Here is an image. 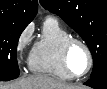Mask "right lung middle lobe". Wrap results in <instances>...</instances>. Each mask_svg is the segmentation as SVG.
I'll list each match as a JSON object with an SVG mask.
<instances>
[{"mask_svg": "<svg viewBox=\"0 0 107 89\" xmlns=\"http://www.w3.org/2000/svg\"><path fill=\"white\" fill-rule=\"evenodd\" d=\"M27 24L0 20V81L19 76L16 59L17 43Z\"/></svg>", "mask_w": 107, "mask_h": 89, "instance_id": "obj_1", "label": "right lung middle lobe"}]
</instances>
